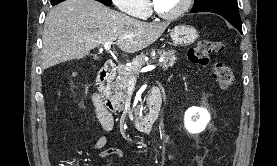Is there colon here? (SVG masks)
<instances>
[{
  "mask_svg": "<svg viewBox=\"0 0 277 166\" xmlns=\"http://www.w3.org/2000/svg\"><path fill=\"white\" fill-rule=\"evenodd\" d=\"M224 44L221 41L211 39H200L189 49L190 61L201 67H210L215 81L221 89H228L234 81L233 70L224 62H211V56L221 53Z\"/></svg>",
  "mask_w": 277,
  "mask_h": 166,
  "instance_id": "obj_1",
  "label": "colon"
}]
</instances>
